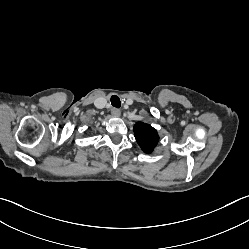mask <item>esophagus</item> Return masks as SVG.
<instances>
[{"label":"esophagus","mask_w":249,"mask_h":249,"mask_svg":"<svg viewBox=\"0 0 249 249\" xmlns=\"http://www.w3.org/2000/svg\"><path fill=\"white\" fill-rule=\"evenodd\" d=\"M111 113H112V115L113 116H115V117H118V116H120V110L119 109H117V108H112L111 109Z\"/></svg>","instance_id":"34e87169"}]
</instances>
